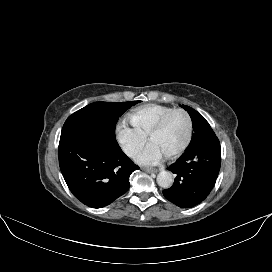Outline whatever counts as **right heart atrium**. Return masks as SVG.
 Returning <instances> with one entry per match:
<instances>
[{
  "mask_svg": "<svg viewBox=\"0 0 272 272\" xmlns=\"http://www.w3.org/2000/svg\"><path fill=\"white\" fill-rule=\"evenodd\" d=\"M116 136L121 148L130 157H135L147 140V135L129 126L125 120L118 122Z\"/></svg>",
  "mask_w": 272,
  "mask_h": 272,
  "instance_id": "obj_1",
  "label": "right heart atrium"
}]
</instances>
